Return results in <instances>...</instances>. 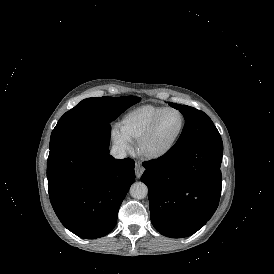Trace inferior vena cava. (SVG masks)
I'll use <instances>...</instances> for the list:
<instances>
[{
    "instance_id": "1",
    "label": "inferior vena cava",
    "mask_w": 274,
    "mask_h": 274,
    "mask_svg": "<svg viewBox=\"0 0 274 274\" xmlns=\"http://www.w3.org/2000/svg\"><path fill=\"white\" fill-rule=\"evenodd\" d=\"M111 155L118 159H123L127 156L126 150L118 145H114L111 149Z\"/></svg>"
}]
</instances>
